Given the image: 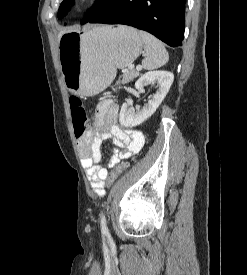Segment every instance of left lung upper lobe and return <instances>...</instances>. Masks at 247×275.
Masks as SVG:
<instances>
[{
	"instance_id": "left-lung-upper-lobe-1",
	"label": "left lung upper lobe",
	"mask_w": 247,
	"mask_h": 275,
	"mask_svg": "<svg viewBox=\"0 0 247 275\" xmlns=\"http://www.w3.org/2000/svg\"><path fill=\"white\" fill-rule=\"evenodd\" d=\"M109 0H96L95 5L89 11L88 15L82 20L83 23L87 22L91 17H93ZM73 2V0H64L59 8L58 17L62 18L67 14L69 10V5Z\"/></svg>"
}]
</instances>
